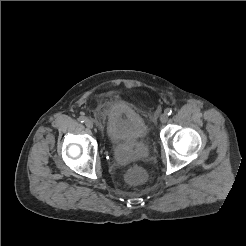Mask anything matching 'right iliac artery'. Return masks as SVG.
<instances>
[{
  "label": "right iliac artery",
  "instance_id": "1",
  "mask_svg": "<svg viewBox=\"0 0 246 246\" xmlns=\"http://www.w3.org/2000/svg\"><path fill=\"white\" fill-rule=\"evenodd\" d=\"M78 120H79L81 123H84L86 119H85L84 116H80V117L78 118Z\"/></svg>",
  "mask_w": 246,
  "mask_h": 246
}]
</instances>
